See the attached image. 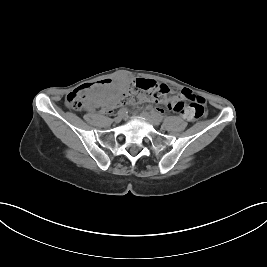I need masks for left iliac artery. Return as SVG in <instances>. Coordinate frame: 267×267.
<instances>
[{"instance_id": "obj_1", "label": "left iliac artery", "mask_w": 267, "mask_h": 267, "mask_svg": "<svg viewBox=\"0 0 267 267\" xmlns=\"http://www.w3.org/2000/svg\"><path fill=\"white\" fill-rule=\"evenodd\" d=\"M151 114L159 122H161L163 120V116L161 114L155 112L154 110L151 111Z\"/></svg>"}]
</instances>
